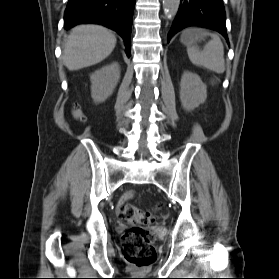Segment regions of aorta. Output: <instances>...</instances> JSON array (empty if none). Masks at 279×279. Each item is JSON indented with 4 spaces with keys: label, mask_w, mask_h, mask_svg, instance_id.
Returning a JSON list of instances; mask_svg holds the SVG:
<instances>
[{
    "label": "aorta",
    "mask_w": 279,
    "mask_h": 279,
    "mask_svg": "<svg viewBox=\"0 0 279 279\" xmlns=\"http://www.w3.org/2000/svg\"><path fill=\"white\" fill-rule=\"evenodd\" d=\"M180 5V0H163L166 16L171 19L176 15Z\"/></svg>",
    "instance_id": "obj_1"
}]
</instances>
